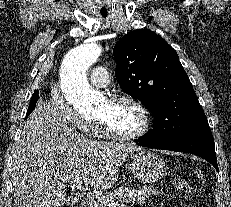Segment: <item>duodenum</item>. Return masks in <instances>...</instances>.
Returning <instances> with one entry per match:
<instances>
[{
    "label": "duodenum",
    "instance_id": "410a0bca",
    "mask_svg": "<svg viewBox=\"0 0 231 207\" xmlns=\"http://www.w3.org/2000/svg\"><path fill=\"white\" fill-rule=\"evenodd\" d=\"M79 207H86V204L82 202L79 204Z\"/></svg>",
    "mask_w": 231,
    "mask_h": 207
}]
</instances>
